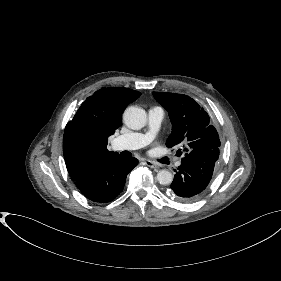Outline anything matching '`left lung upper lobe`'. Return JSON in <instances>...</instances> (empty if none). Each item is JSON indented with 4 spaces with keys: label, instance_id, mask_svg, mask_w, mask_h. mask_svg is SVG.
Here are the masks:
<instances>
[{
    "label": "left lung upper lobe",
    "instance_id": "left-lung-upper-lobe-1",
    "mask_svg": "<svg viewBox=\"0 0 281 281\" xmlns=\"http://www.w3.org/2000/svg\"><path fill=\"white\" fill-rule=\"evenodd\" d=\"M153 96L168 111L172 133L166 146L179 147L178 156L184 158L197 148L220 147L219 135L208 114L192 98L165 92H153Z\"/></svg>",
    "mask_w": 281,
    "mask_h": 281
}]
</instances>
